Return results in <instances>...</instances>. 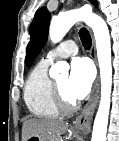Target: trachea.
<instances>
[{"mask_svg": "<svg viewBox=\"0 0 119 141\" xmlns=\"http://www.w3.org/2000/svg\"><path fill=\"white\" fill-rule=\"evenodd\" d=\"M79 36L85 49L91 47V36L86 28H81L79 31Z\"/></svg>", "mask_w": 119, "mask_h": 141, "instance_id": "3493384b", "label": "trachea"}]
</instances>
